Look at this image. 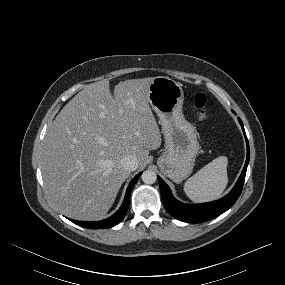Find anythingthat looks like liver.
<instances>
[{
  "instance_id": "6515ba94",
  "label": "liver",
  "mask_w": 285,
  "mask_h": 285,
  "mask_svg": "<svg viewBox=\"0 0 285 285\" xmlns=\"http://www.w3.org/2000/svg\"><path fill=\"white\" fill-rule=\"evenodd\" d=\"M153 77L114 87L106 80L87 85L47 129L41 153L44 186L50 201L70 218H103L130 175L121 160L133 155L145 164L161 134L148 95Z\"/></svg>"
}]
</instances>
